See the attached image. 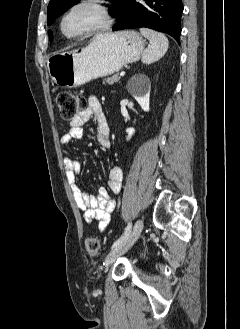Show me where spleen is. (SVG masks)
Instances as JSON below:
<instances>
[{
  "mask_svg": "<svg viewBox=\"0 0 240 329\" xmlns=\"http://www.w3.org/2000/svg\"><path fill=\"white\" fill-rule=\"evenodd\" d=\"M140 32L150 42V46L142 54V62L151 64L158 61L168 50L169 41L167 37L163 33L147 28H141Z\"/></svg>",
  "mask_w": 240,
  "mask_h": 329,
  "instance_id": "3e777b00",
  "label": "spleen"
}]
</instances>
